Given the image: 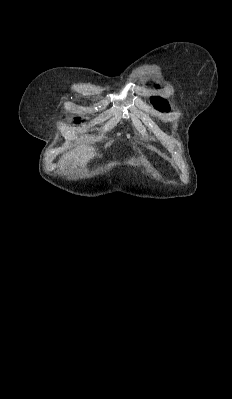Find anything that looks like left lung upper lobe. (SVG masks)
Here are the masks:
<instances>
[{
  "label": "left lung upper lobe",
  "mask_w": 232,
  "mask_h": 399,
  "mask_svg": "<svg viewBox=\"0 0 232 399\" xmlns=\"http://www.w3.org/2000/svg\"><path fill=\"white\" fill-rule=\"evenodd\" d=\"M157 88L159 86H156ZM151 102L153 103V106L155 109L161 111V112H169L170 111V106L168 102L161 98V97H151Z\"/></svg>",
  "instance_id": "left-lung-upper-lobe-1"
}]
</instances>
